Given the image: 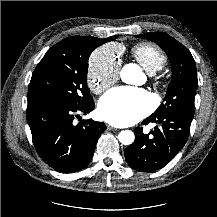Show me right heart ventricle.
Returning <instances> with one entry per match:
<instances>
[{
    "mask_svg": "<svg viewBox=\"0 0 217 217\" xmlns=\"http://www.w3.org/2000/svg\"><path fill=\"white\" fill-rule=\"evenodd\" d=\"M131 55L151 74L162 69L166 63V56L162 50L148 42H141L133 46Z\"/></svg>",
    "mask_w": 217,
    "mask_h": 217,
    "instance_id": "right-heart-ventricle-1",
    "label": "right heart ventricle"
}]
</instances>
